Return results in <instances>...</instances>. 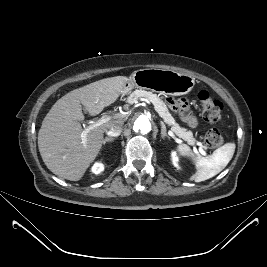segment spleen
Masks as SVG:
<instances>
[{
	"mask_svg": "<svg viewBox=\"0 0 267 267\" xmlns=\"http://www.w3.org/2000/svg\"><path fill=\"white\" fill-rule=\"evenodd\" d=\"M235 147L233 142L226 143L207 157H196L190 147L185 144L178 145L177 151L180 155L194 160L197 171L190 180L201 182L214 177L228 165L234 155Z\"/></svg>",
	"mask_w": 267,
	"mask_h": 267,
	"instance_id": "spleen-1",
	"label": "spleen"
}]
</instances>
